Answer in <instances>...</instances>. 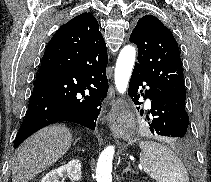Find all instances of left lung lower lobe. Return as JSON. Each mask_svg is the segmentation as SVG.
Here are the masks:
<instances>
[{
    "mask_svg": "<svg viewBox=\"0 0 211 182\" xmlns=\"http://www.w3.org/2000/svg\"><path fill=\"white\" fill-rule=\"evenodd\" d=\"M143 83L147 85L144 92ZM128 93L135 104L142 103L138 101L140 96L151 100L147 120L153 135L178 138V143H186L189 117L185 108L159 90L137 67H134Z\"/></svg>",
    "mask_w": 211,
    "mask_h": 182,
    "instance_id": "1",
    "label": "left lung lower lobe"
}]
</instances>
